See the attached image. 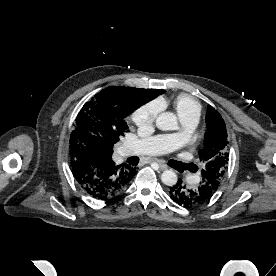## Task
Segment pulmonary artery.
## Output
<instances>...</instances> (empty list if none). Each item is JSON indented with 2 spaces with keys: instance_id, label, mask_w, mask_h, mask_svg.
<instances>
[{
  "instance_id": "1",
  "label": "pulmonary artery",
  "mask_w": 276,
  "mask_h": 276,
  "mask_svg": "<svg viewBox=\"0 0 276 276\" xmlns=\"http://www.w3.org/2000/svg\"><path fill=\"white\" fill-rule=\"evenodd\" d=\"M183 125V130L167 135H158L155 137H150L142 139L139 141L126 143L123 146V149H136L140 154L147 155H158L170 153L179 147L185 142L188 134L193 131L197 125V118L188 117L181 119ZM193 179L196 181L197 176H194Z\"/></svg>"
}]
</instances>
